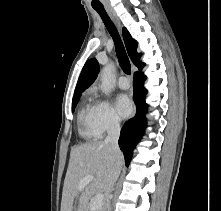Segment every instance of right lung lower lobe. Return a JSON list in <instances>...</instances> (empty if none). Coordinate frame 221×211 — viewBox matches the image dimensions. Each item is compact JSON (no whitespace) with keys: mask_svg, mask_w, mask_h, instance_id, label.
<instances>
[{"mask_svg":"<svg viewBox=\"0 0 221 211\" xmlns=\"http://www.w3.org/2000/svg\"><path fill=\"white\" fill-rule=\"evenodd\" d=\"M145 79L146 77L141 72H136L134 75L133 98L137 107V113L134 118L124 124L120 133L119 146L124 153L125 163L127 166L132 158L133 149L143 135V129L146 125L145 114L147 112V104L145 103V95L147 94V90L143 87Z\"/></svg>","mask_w":221,"mask_h":211,"instance_id":"obj_1","label":"right lung lower lobe"}]
</instances>
